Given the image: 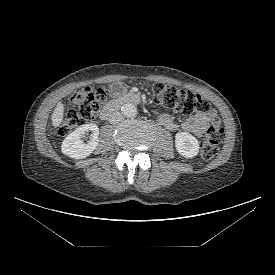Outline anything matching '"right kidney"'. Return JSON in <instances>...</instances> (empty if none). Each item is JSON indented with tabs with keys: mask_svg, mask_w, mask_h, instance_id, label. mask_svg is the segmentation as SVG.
Listing matches in <instances>:
<instances>
[{
	"mask_svg": "<svg viewBox=\"0 0 275 275\" xmlns=\"http://www.w3.org/2000/svg\"><path fill=\"white\" fill-rule=\"evenodd\" d=\"M91 131V138L84 142L81 138ZM99 128L96 124H84L69 134L62 142V153L73 158L82 159L89 156L98 146Z\"/></svg>",
	"mask_w": 275,
	"mask_h": 275,
	"instance_id": "ca27d5eb",
	"label": "right kidney"
}]
</instances>
